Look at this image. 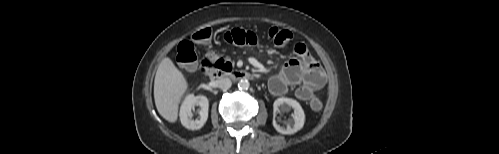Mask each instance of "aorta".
I'll return each instance as SVG.
<instances>
[{
	"label": "aorta",
	"instance_id": "762f6f07",
	"mask_svg": "<svg viewBox=\"0 0 499 154\" xmlns=\"http://www.w3.org/2000/svg\"><path fill=\"white\" fill-rule=\"evenodd\" d=\"M249 86H250V84H249V81L247 79H241L238 82L239 90H248Z\"/></svg>",
	"mask_w": 499,
	"mask_h": 154
}]
</instances>
